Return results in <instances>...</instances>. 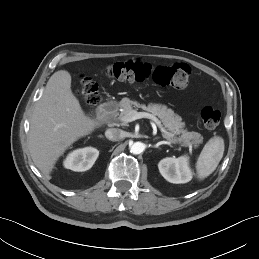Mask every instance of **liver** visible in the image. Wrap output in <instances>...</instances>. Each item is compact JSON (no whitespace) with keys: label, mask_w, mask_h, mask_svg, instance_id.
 Returning a JSON list of instances; mask_svg holds the SVG:
<instances>
[{"label":"liver","mask_w":259,"mask_h":259,"mask_svg":"<svg viewBox=\"0 0 259 259\" xmlns=\"http://www.w3.org/2000/svg\"><path fill=\"white\" fill-rule=\"evenodd\" d=\"M98 122L87 116L71 90V75L55 72L47 82L30 120L28 146L36 167L49 179L58 158Z\"/></svg>","instance_id":"6515ba94"}]
</instances>
